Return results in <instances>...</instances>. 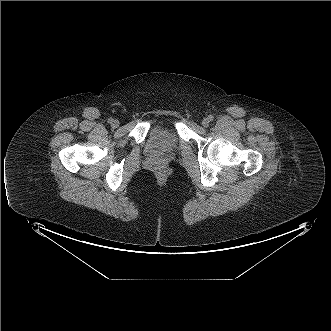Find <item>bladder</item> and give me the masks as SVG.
I'll use <instances>...</instances> for the list:
<instances>
[{
    "mask_svg": "<svg viewBox=\"0 0 331 331\" xmlns=\"http://www.w3.org/2000/svg\"><path fill=\"white\" fill-rule=\"evenodd\" d=\"M180 138L173 127L157 125L146 137L145 150L152 156L172 154L178 151Z\"/></svg>",
    "mask_w": 331,
    "mask_h": 331,
    "instance_id": "obj_1",
    "label": "bladder"
}]
</instances>
